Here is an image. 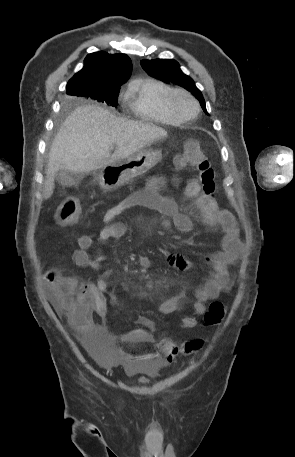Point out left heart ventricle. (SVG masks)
<instances>
[{
	"label": "left heart ventricle",
	"mask_w": 295,
	"mask_h": 457,
	"mask_svg": "<svg viewBox=\"0 0 295 457\" xmlns=\"http://www.w3.org/2000/svg\"><path fill=\"white\" fill-rule=\"evenodd\" d=\"M176 106L178 111L184 115H191L194 112V105L185 97H179Z\"/></svg>",
	"instance_id": "1"
}]
</instances>
